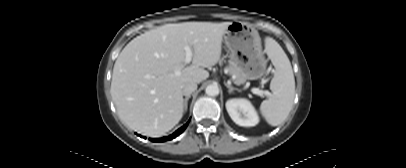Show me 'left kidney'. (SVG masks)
<instances>
[{
	"mask_svg": "<svg viewBox=\"0 0 406 168\" xmlns=\"http://www.w3.org/2000/svg\"><path fill=\"white\" fill-rule=\"evenodd\" d=\"M226 109L231 119L239 126L251 127L259 123L255 108L246 99H230L226 102Z\"/></svg>",
	"mask_w": 406,
	"mask_h": 168,
	"instance_id": "5707ae66",
	"label": "left kidney"
}]
</instances>
